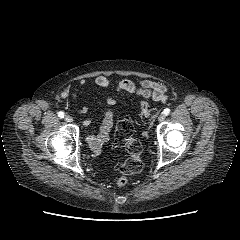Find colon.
<instances>
[{
  "mask_svg": "<svg viewBox=\"0 0 240 240\" xmlns=\"http://www.w3.org/2000/svg\"><path fill=\"white\" fill-rule=\"evenodd\" d=\"M142 119L149 122L154 119L156 109L151 108L146 102L140 103ZM114 144L125 147L129 154L128 160L122 166V176L117 179V185L122 187L127 184L128 176L140 173L142 170L141 143L133 137V126L126 117H121L116 126Z\"/></svg>",
  "mask_w": 240,
  "mask_h": 240,
  "instance_id": "obj_1",
  "label": "colon"
}]
</instances>
